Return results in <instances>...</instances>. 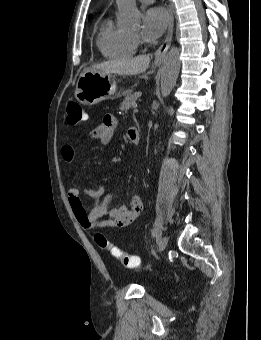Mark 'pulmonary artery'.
I'll return each mask as SVG.
<instances>
[{
	"mask_svg": "<svg viewBox=\"0 0 261 340\" xmlns=\"http://www.w3.org/2000/svg\"><path fill=\"white\" fill-rule=\"evenodd\" d=\"M140 2H142V3H151V2H153L154 0H139Z\"/></svg>",
	"mask_w": 261,
	"mask_h": 340,
	"instance_id": "1",
	"label": "pulmonary artery"
}]
</instances>
